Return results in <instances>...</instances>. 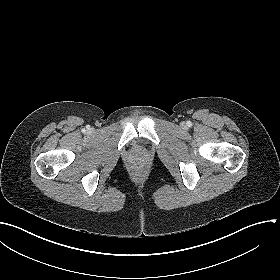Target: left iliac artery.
Segmentation results:
<instances>
[{
    "mask_svg": "<svg viewBox=\"0 0 280 280\" xmlns=\"http://www.w3.org/2000/svg\"><path fill=\"white\" fill-rule=\"evenodd\" d=\"M187 125L190 127L192 125V123L191 122H187Z\"/></svg>",
    "mask_w": 280,
    "mask_h": 280,
    "instance_id": "44dca946",
    "label": "left iliac artery"
}]
</instances>
